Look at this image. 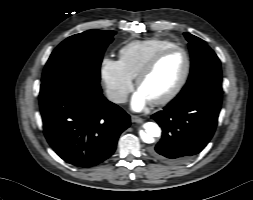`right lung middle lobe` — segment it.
<instances>
[{
    "mask_svg": "<svg viewBox=\"0 0 253 200\" xmlns=\"http://www.w3.org/2000/svg\"><path fill=\"white\" fill-rule=\"evenodd\" d=\"M114 34L115 31L89 30L65 39L48 59L42 83L66 77H79L99 83L103 53Z\"/></svg>",
    "mask_w": 253,
    "mask_h": 200,
    "instance_id": "right-lung-middle-lobe-1",
    "label": "right lung middle lobe"
}]
</instances>
